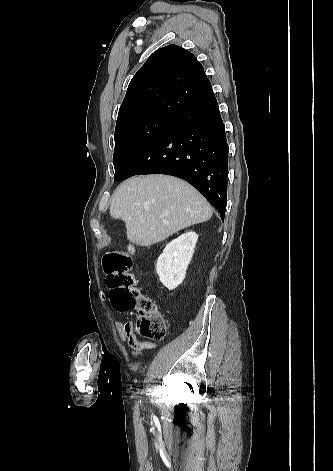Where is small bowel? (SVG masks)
<instances>
[{
    "label": "small bowel",
    "mask_w": 333,
    "mask_h": 471,
    "mask_svg": "<svg viewBox=\"0 0 333 471\" xmlns=\"http://www.w3.org/2000/svg\"><path fill=\"white\" fill-rule=\"evenodd\" d=\"M115 328L118 331L119 339L122 342H127L131 348L133 355H140L144 350H151L155 348V343L151 341L141 340L138 338L133 323L127 321L125 323L121 321H115Z\"/></svg>",
    "instance_id": "1"
}]
</instances>
